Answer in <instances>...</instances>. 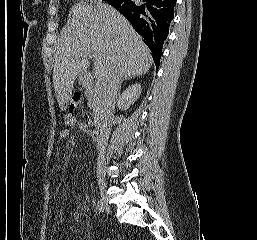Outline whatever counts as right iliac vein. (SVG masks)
<instances>
[{
    "label": "right iliac vein",
    "instance_id": "obj_1",
    "mask_svg": "<svg viewBox=\"0 0 257 240\" xmlns=\"http://www.w3.org/2000/svg\"><path fill=\"white\" fill-rule=\"evenodd\" d=\"M100 191H101V202L103 204V208H104L105 211L110 212L111 209H110L109 204L106 201V198H105V195H104V187L103 186L100 187Z\"/></svg>",
    "mask_w": 257,
    "mask_h": 240
}]
</instances>
